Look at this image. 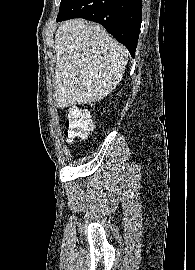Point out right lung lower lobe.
<instances>
[{
	"instance_id": "98d812e1",
	"label": "right lung lower lobe",
	"mask_w": 195,
	"mask_h": 270,
	"mask_svg": "<svg viewBox=\"0 0 195 270\" xmlns=\"http://www.w3.org/2000/svg\"><path fill=\"white\" fill-rule=\"evenodd\" d=\"M84 18L105 27L118 42L124 44L132 57L138 43L142 0H74L57 21Z\"/></svg>"
}]
</instances>
